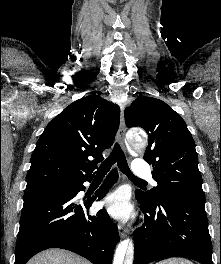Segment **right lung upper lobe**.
I'll list each match as a JSON object with an SVG mask.
<instances>
[{
	"label": "right lung upper lobe",
	"instance_id": "1",
	"mask_svg": "<svg viewBox=\"0 0 221 264\" xmlns=\"http://www.w3.org/2000/svg\"><path fill=\"white\" fill-rule=\"evenodd\" d=\"M119 120V106L98 95L71 103L38 139L25 190L92 179L97 163L104 160L102 152L113 144Z\"/></svg>",
	"mask_w": 221,
	"mask_h": 264
}]
</instances>
